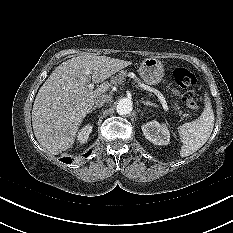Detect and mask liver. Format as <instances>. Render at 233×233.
<instances>
[{
	"label": "liver",
	"instance_id": "liver-1",
	"mask_svg": "<svg viewBox=\"0 0 233 233\" xmlns=\"http://www.w3.org/2000/svg\"><path fill=\"white\" fill-rule=\"evenodd\" d=\"M130 64V61L85 54L56 67L33 104L32 126L38 142L55 155L71 148L83 119L110 88L104 81ZM90 80L102 84L95 90L88 89Z\"/></svg>",
	"mask_w": 233,
	"mask_h": 233
}]
</instances>
